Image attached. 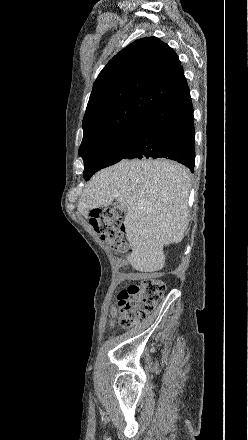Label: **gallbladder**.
I'll use <instances>...</instances> for the list:
<instances>
[{"label":"gallbladder","instance_id":"bac80fb5","mask_svg":"<svg viewBox=\"0 0 248 440\" xmlns=\"http://www.w3.org/2000/svg\"><path fill=\"white\" fill-rule=\"evenodd\" d=\"M114 208L115 209H122L121 205L119 203H114Z\"/></svg>","mask_w":248,"mask_h":440}]
</instances>
